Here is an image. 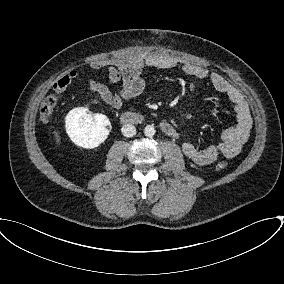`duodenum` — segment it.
Segmentation results:
<instances>
[{
    "mask_svg": "<svg viewBox=\"0 0 284 284\" xmlns=\"http://www.w3.org/2000/svg\"><path fill=\"white\" fill-rule=\"evenodd\" d=\"M146 120H147L146 116L140 113H136V112H125L121 116L122 123L127 124V125L142 124ZM160 129L165 135L170 136V137H174L177 133L174 126L168 121H162L160 123Z\"/></svg>",
    "mask_w": 284,
    "mask_h": 284,
    "instance_id": "duodenum-1",
    "label": "duodenum"
}]
</instances>
